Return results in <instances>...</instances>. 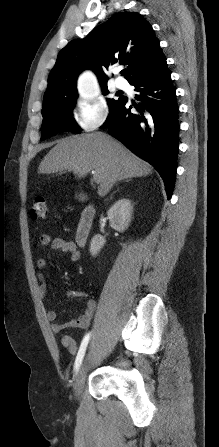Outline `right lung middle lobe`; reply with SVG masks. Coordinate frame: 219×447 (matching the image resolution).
Wrapping results in <instances>:
<instances>
[{
  "instance_id": "1",
  "label": "right lung middle lobe",
  "mask_w": 219,
  "mask_h": 447,
  "mask_svg": "<svg viewBox=\"0 0 219 447\" xmlns=\"http://www.w3.org/2000/svg\"><path fill=\"white\" fill-rule=\"evenodd\" d=\"M104 95L108 94L107 85L102 86ZM76 95H58L53 97L43 98V122L41 127V139H47L49 136L63 131H79L80 128L76 125L72 118V109L75 105ZM123 97L117 100L109 99L108 105L110 110L113 109Z\"/></svg>"
}]
</instances>
